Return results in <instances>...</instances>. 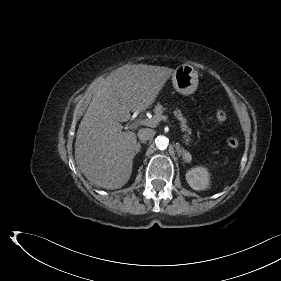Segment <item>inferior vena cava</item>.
I'll return each instance as SVG.
<instances>
[{
  "mask_svg": "<svg viewBox=\"0 0 281 281\" xmlns=\"http://www.w3.org/2000/svg\"><path fill=\"white\" fill-rule=\"evenodd\" d=\"M155 131L150 128H142L138 132V138L141 141H147L154 137Z\"/></svg>",
  "mask_w": 281,
  "mask_h": 281,
  "instance_id": "602c4592",
  "label": "inferior vena cava"
}]
</instances>
